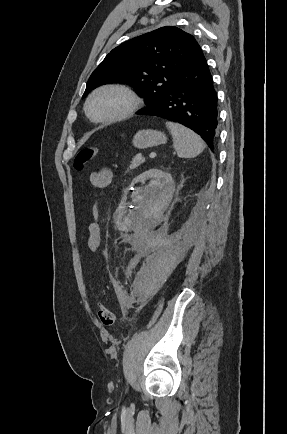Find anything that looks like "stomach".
<instances>
[{
    "mask_svg": "<svg viewBox=\"0 0 287 434\" xmlns=\"http://www.w3.org/2000/svg\"><path fill=\"white\" fill-rule=\"evenodd\" d=\"M166 136L164 133L156 130H141L138 131L133 137L132 143L139 149L154 147L166 143Z\"/></svg>",
    "mask_w": 287,
    "mask_h": 434,
    "instance_id": "0dacf381",
    "label": "stomach"
}]
</instances>
